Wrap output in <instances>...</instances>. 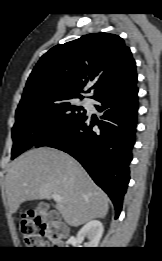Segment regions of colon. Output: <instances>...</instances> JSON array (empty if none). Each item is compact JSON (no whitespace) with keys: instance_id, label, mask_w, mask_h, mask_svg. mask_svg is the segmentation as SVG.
<instances>
[{"instance_id":"1","label":"colon","mask_w":162,"mask_h":261,"mask_svg":"<svg viewBox=\"0 0 162 261\" xmlns=\"http://www.w3.org/2000/svg\"><path fill=\"white\" fill-rule=\"evenodd\" d=\"M19 231L28 248H42L50 243L59 244L64 238L58 214L46 206L28 208L20 215Z\"/></svg>"}]
</instances>
